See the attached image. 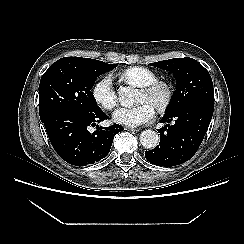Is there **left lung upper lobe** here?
Returning <instances> with one entry per match:
<instances>
[{"instance_id":"obj_1","label":"left lung upper lobe","mask_w":244,"mask_h":244,"mask_svg":"<svg viewBox=\"0 0 244 244\" xmlns=\"http://www.w3.org/2000/svg\"><path fill=\"white\" fill-rule=\"evenodd\" d=\"M150 65L170 71L176 80L177 89L168 105L166 114H171L192 102L214 103L212 79L208 71L195 59L174 58Z\"/></svg>"}]
</instances>
